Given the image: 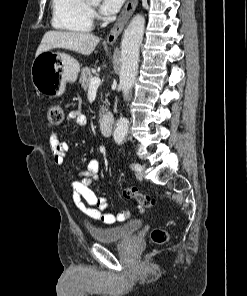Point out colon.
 Wrapping results in <instances>:
<instances>
[{
    "mask_svg": "<svg viewBox=\"0 0 247 296\" xmlns=\"http://www.w3.org/2000/svg\"><path fill=\"white\" fill-rule=\"evenodd\" d=\"M65 120L64 110L59 105H51L47 110V122L51 127H60ZM124 196L128 199L136 200L143 207H153L155 200L148 195L140 193L134 187H127L124 189ZM151 241L154 244L161 245L166 242L168 235L164 229L155 228L150 235Z\"/></svg>",
    "mask_w": 247,
    "mask_h": 296,
    "instance_id": "colon-1",
    "label": "colon"
}]
</instances>
